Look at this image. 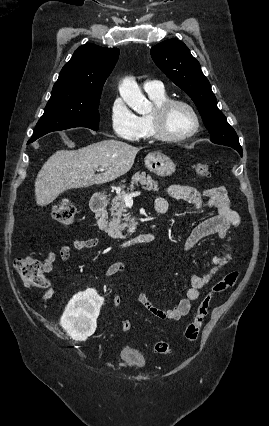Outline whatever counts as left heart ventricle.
<instances>
[{
  "mask_svg": "<svg viewBox=\"0 0 269 426\" xmlns=\"http://www.w3.org/2000/svg\"><path fill=\"white\" fill-rule=\"evenodd\" d=\"M194 127V117L184 106H175L169 112L166 121L167 131L172 135H181Z\"/></svg>",
  "mask_w": 269,
  "mask_h": 426,
  "instance_id": "obj_1",
  "label": "left heart ventricle"
}]
</instances>
